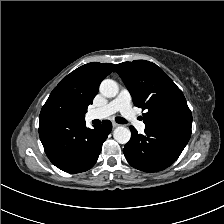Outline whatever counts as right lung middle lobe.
Masks as SVG:
<instances>
[{
	"label": "right lung middle lobe",
	"instance_id": "dd1d6c3e",
	"mask_svg": "<svg viewBox=\"0 0 224 224\" xmlns=\"http://www.w3.org/2000/svg\"><path fill=\"white\" fill-rule=\"evenodd\" d=\"M87 109L82 107L74 98L62 93L52 91L42 107L40 115H54L74 121H82Z\"/></svg>",
	"mask_w": 224,
	"mask_h": 224
}]
</instances>
